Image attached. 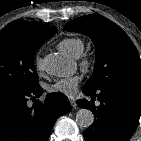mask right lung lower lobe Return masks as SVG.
<instances>
[{
  "instance_id": "obj_1",
  "label": "right lung lower lobe",
  "mask_w": 141,
  "mask_h": 141,
  "mask_svg": "<svg viewBox=\"0 0 141 141\" xmlns=\"http://www.w3.org/2000/svg\"><path fill=\"white\" fill-rule=\"evenodd\" d=\"M38 86L30 90L0 88V141H48L56 119L70 111L64 94L50 93L32 107L27 101L41 96Z\"/></svg>"
}]
</instances>
